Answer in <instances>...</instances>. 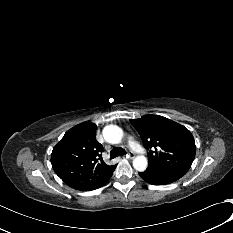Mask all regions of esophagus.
Masks as SVG:
<instances>
[{
    "instance_id": "obj_1",
    "label": "esophagus",
    "mask_w": 233,
    "mask_h": 233,
    "mask_svg": "<svg viewBox=\"0 0 233 233\" xmlns=\"http://www.w3.org/2000/svg\"><path fill=\"white\" fill-rule=\"evenodd\" d=\"M126 158L134 159V158H135V154H134L133 152H129V153L126 155Z\"/></svg>"
}]
</instances>
